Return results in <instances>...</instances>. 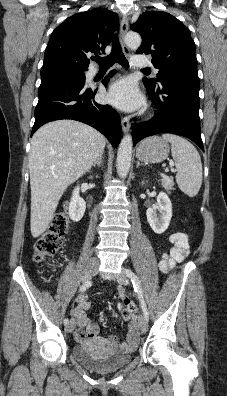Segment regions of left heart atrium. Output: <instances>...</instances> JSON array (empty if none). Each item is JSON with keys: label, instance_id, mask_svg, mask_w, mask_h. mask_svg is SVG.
<instances>
[{"label": "left heart atrium", "instance_id": "1", "mask_svg": "<svg viewBox=\"0 0 227 396\" xmlns=\"http://www.w3.org/2000/svg\"><path fill=\"white\" fill-rule=\"evenodd\" d=\"M106 100L125 111L135 110L143 103V97L137 86L132 80L127 78L118 80L109 87Z\"/></svg>", "mask_w": 227, "mask_h": 396}]
</instances>
